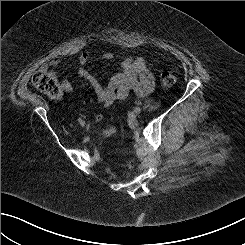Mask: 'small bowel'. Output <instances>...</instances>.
Here are the masks:
<instances>
[{"label": "small bowel", "instance_id": "c3829d8e", "mask_svg": "<svg viewBox=\"0 0 245 245\" xmlns=\"http://www.w3.org/2000/svg\"><path fill=\"white\" fill-rule=\"evenodd\" d=\"M104 58L109 59L110 54H106ZM88 59L89 55L87 53H81L79 56V62L82 65ZM58 62L57 57L50 59L51 65H56ZM79 75L90 84L104 108L110 106L115 100L126 98L131 92L138 96H147L152 92L155 85L152 70L143 58H125L121 63L120 71L111 77L107 85H102L85 67L79 69ZM61 88L65 93L73 91V87L68 80L62 81ZM102 118L103 114L101 112L95 115L97 121Z\"/></svg>", "mask_w": 245, "mask_h": 245}]
</instances>
